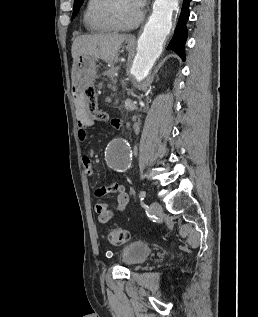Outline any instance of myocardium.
<instances>
[{"instance_id": "obj_1", "label": "myocardium", "mask_w": 258, "mask_h": 317, "mask_svg": "<svg viewBox=\"0 0 258 317\" xmlns=\"http://www.w3.org/2000/svg\"><path fill=\"white\" fill-rule=\"evenodd\" d=\"M123 2H128V3L132 4L133 6H135V8L137 10L136 21L134 22V24L131 27H128V28L120 27L116 23V21L114 20V18L112 16L113 10L120 3H123ZM96 16L101 23L108 26L112 30L117 31V32H124V31H130V30L137 28L139 26V24L141 23V21L143 20L144 14H143V10L141 9V7L139 6V4L137 3L136 0H104L97 7Z\"/></svg>"}]
</instances>
